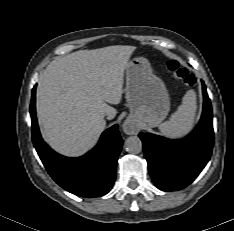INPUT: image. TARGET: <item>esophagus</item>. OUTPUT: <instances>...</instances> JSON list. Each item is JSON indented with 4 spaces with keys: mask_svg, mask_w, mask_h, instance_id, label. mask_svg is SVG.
Wrapping results in <instances>:
<instances>
[{
    "mask_svg": "<svg viewBox=\"0 0 234 231\" xmlns=\"http://www.w3.org/2000/svg\"><path fill=\"white\" fill-rule=\"evenodd\" d=\"M138 128H139L138 124L134 121L132 122V121L127 120L124 123V131L127 134H136L139 130Z\"/></svg>",
    "mask_w": 234,
    "mask_h": 231,
    "instance_id": "1",
    "label": "esophagus"
}]
</instances>
